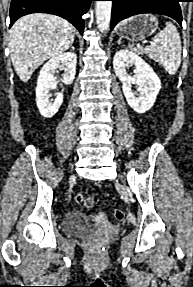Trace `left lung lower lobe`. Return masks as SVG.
<instances>
[{
	"label": "left lung lower lobe",
	"mask_w": 193,
	"mask_h": 287,
	"mask_svg": "<svg viewBox=\"0 0 193 287\" xmlns=\"http://www.w3.org/2000/svg\"><path fill=\"white\" fill-rule=\"evenodd\" d=\"M111 29L121 20L133 15L155 13L169 16L182 26L180 0H111Z\"/></svg>",
	"instance_id": "0a47b994"
}]
</instances>
